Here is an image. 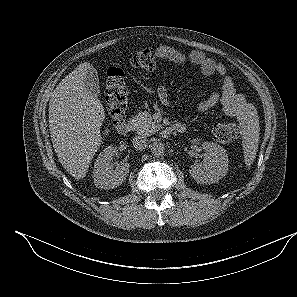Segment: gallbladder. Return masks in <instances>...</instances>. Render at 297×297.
<instances>
[{
	"instance_id": "obj_1",
	"label": "gallbladder",
	"mask_w": 297,
	"mask_h": 297,
	"mask_svg": "<svg viewBox=\"0 0 297 297\" xmlns=\"http://www.w3.org/2000/svg\"><path fill=\"white\" fill-rule=\"evenodd\" d=\"M84 86L95 97L100 93L98 72L93 66L88 69L84 77Z\"/></svg>"
}]
</instances>
